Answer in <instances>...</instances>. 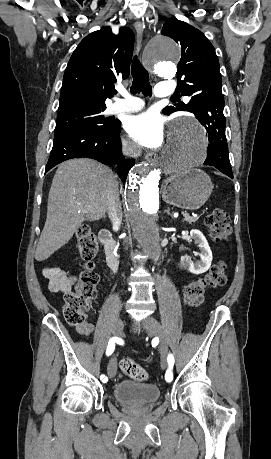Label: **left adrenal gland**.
Masks as SVG:
<instances>
[{
    "instance_id": "left-adrenal-gland-1",
    "label": "left adrenal gland",
    "mask_w": 271,
    "mask_h": 459,
    "mask_svg": "<svg viewBox=\"0 0 271 459\" xmlns=\"http://www.w3.org/2000/svg\"><path fill=\"white\" fill-rule=\"evenodd\" d=\"M166 214H168V216H172V214H170V208H167V210H165Z\"/></svg>"
}]
</instances>
